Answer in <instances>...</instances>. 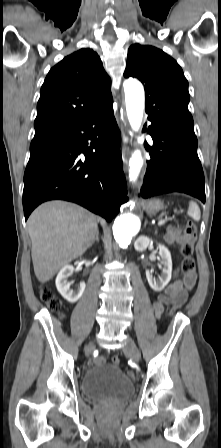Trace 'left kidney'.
Listing matches in <instances>:
<instances>
[{"mask_svg": "<svg viewBox=\"0 0 221 448\" xmlns=\"http://www.w3.org/2000/svg\"><path fill=\"white\" fill-rule=\"evenodd\" d=\"M152 244V240L146 236H140L134 246L137 251H143ZM159 255L161 257L162 274L159 279H156L152 272L146 270V278L150 287L156 291L161 292L165 286L170 282L172 275V259L170 251L164 245L158 244Z\"/></svg>", "mask_w": 221, "mask_h": 448, "instance_id": "left-kidney-1", "label": "left kidney"}]
</instances>
